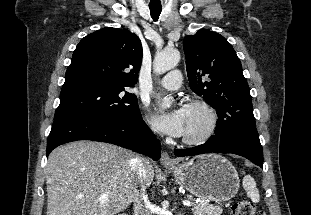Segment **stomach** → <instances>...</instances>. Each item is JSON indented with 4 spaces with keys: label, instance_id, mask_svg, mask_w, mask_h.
Returning <instances> with one entry per match:
<instances>
[{
    "label": "stomach",
    "instance_id": "obj_1",
    "mask_svg": "<svg viewBox=\"0 0 311 215\" xmlns=\"http://www.w3.org/2000/svg\"><path fill=\"white\" fill-rule=\"evenodd\" d=\"M168 169L180 187L201 199L226 202L239 190L236 169L221 155H200Z\"/></svg>",
    "mask_w": 311,
    "mask_h": 215
}]
</instances>
